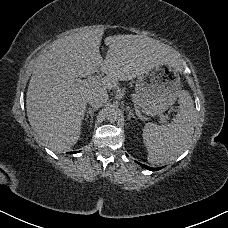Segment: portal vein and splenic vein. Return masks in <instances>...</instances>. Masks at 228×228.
Instances as JSON below:
<instances>
[{"instance_id":"18ae733b","label":"portal vein and splenic vein","mask_w":228,"mask_h":228,"mask_svg":"<svg viewBox=\"0 0 228 228\" xmlns=\"http://www.w3.org/2000/svg\"><path fill=\"white\" fill-rule=\"evenodd\" d=\"M86 83H88L89 85H96L97 84V76H89L85 79ZM162 122H165V116H162Z\"/></svg>"}]
</instances>
